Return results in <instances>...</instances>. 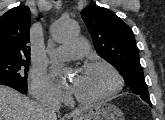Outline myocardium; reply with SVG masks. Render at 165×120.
<instances>
[{"label":"myocardium","instance_id":"1","mask_svg":"<svg viewBox=\"0 0 165 120\" xmlns=\"http://www.w3.org/2000/svg\"><path fill=\"white\" fill-rule=\"evenodd\" d=\"M96 67H102V68L107 69L114 78V85L108 92L94 99H83L74 93L73 94L74 100L81 105H96L104 101H107L108 99L112 98L117 93H119L123 87V79L120 72L110 62L105 61V60H94V61L86 62L83 65V69H91V68H96Z\"/></svg>","mask_w":165,"mask_h":120}]
</instances>
